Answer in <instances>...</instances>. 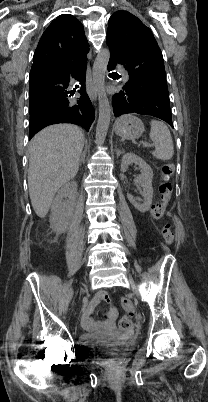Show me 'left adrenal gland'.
I'll return each mask as SVG.
<instances>
[{
  "label": "left adrenal gland",
  "mask_w": 208,
  "mask_h": 402,
  "mask_svg": "<svg viewBox=\"0 0 208 402\" xmlns=\"http://www.w3.org/2000/svg\"><path fill=\"white\" fill-rule=\"evenodd\" d=\"M116 154H117V158L118 156H120V154H123V152H120V150H115Z\"/></svg>",
  "instance_id": "a2214340"
}]
</instances>
